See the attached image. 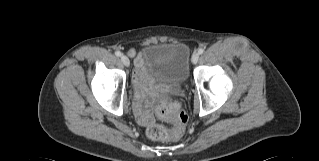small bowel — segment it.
Masks as SVG:
<instances>
[{"mask_svg": "<svg viewBox=\"0 0 319 161\" xmlns=\"http://www.w3.org/2000/svg\"><path fill=\"white\" fill-rule=\"evenodd\" d=\"M128 55L131 57L134 56L135 51L133 49H130L128 51ZM145 78L146 76L144 75L142 70V60L138 56L135 60V69L133 71L132 80H133V83L139 88V98L142 101H145V103H148L147 98L152 93V91L145 88L144 86ZM138 116L144 119H148V116H146L145 114L141 112L138 113Z\"/></svg>", "mask_w": 319, "mask_h": 161, "instance_id": "c3829d8e", "label": "small bowel"}]
</instances>
